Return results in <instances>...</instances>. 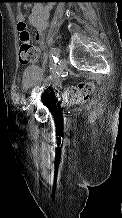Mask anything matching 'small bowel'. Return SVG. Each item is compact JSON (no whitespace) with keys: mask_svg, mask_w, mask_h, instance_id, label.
Returning <instances> with one entry per match:
<instances>
[{"mask_svg":"<svg viewBox=\"0 0 122 218\" xmlns=\"http://www.w3.org/2000/svg\"><path fill=\"white\" fill-rule=\"evenodd\" d=\"M51 10V3H48L45 6L39 3L33 6L31 14L29 16V21L35 27V39L39 45L43 44L45 30L47 29L49 24V15ZM17 19L19 22L24 20L22 12H18ZM37 52L38 56L36 60H38V58L42 56L41 48H38Z\"/></svg>","mask_w":122,"mask_h":218,"instance_id":"small-bowel-1","label":"small bowel"}]
</instances>
